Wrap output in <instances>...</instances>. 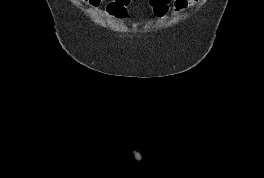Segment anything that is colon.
I'll use <instances>...</instances> for the list:
<instances>
[{
    "label": "colon",
    "mask_w": 264,
    "mask_h": 178,
    "mask_svg": "<svg viewBox=\"0 0 264 178\" xmlns=\"http://www.w3.org/2000/svg\"><path fill=\"white\" fill-rule=\"evenodd\" d=\"M131 0H111L106 5V12L112 18L122 21L128 15V8ZM171 0H149L153 15L163 18L170 9Z\"/></svg>",
    "instance_id": "1"
}]
</instances>
